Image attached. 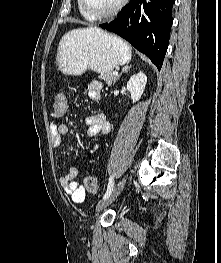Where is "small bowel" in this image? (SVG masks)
<instances>
[{"instance_id":"obj_1","label":"small bowel","mask_w":221,"mask_h":263,"mask_svg":"<svg viewBox=\"0 0 221 263\" xmlns=\"http://www.w3.org/2000/svg\"><path fill=\"white\" fill-rule=\"evenodd\" d=\"M103 85L99 81H92L87 86V93L89 98L98 102L101 99ZM88 125L87 135L94 138L97 135H107L110 131V124L103 114H94L86 119ZM69 133V128L65 124H53L51 126V141L54 147H59L63 141V137ZM98 148L94 145L90 148L89 153L94 152ZM79 177V170L75 167L69 169L66 174L59 177V182L64 191L70 196L74 203H82L85 200V190L77 183Z\"/></svg>"}]
</instances>
